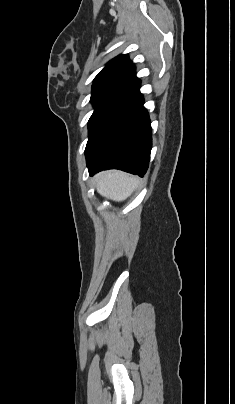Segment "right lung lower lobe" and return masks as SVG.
Returning a JSON list of instances; mask_svg holds the SVG:
<instances>
[{"mask_svg":"<svg viewBox=\"0 0 235 404\" xmlns=\"http://www.w3.org/2000/svg\"><path fill=\"white\" fill-rule=\"evenodd\" d=\"M139 88L140 81L129 85L90 134L85 150L90 175L113 168L141 177L146 173L152 137Z\"/></svg>","mask_w":235,"mask_h":404,"instance_id":"obj_1","label":"right lung lower lobe"}]
</instances>
